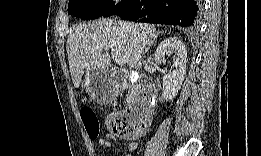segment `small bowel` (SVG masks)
I'll return each instance as SVG.
<instances>
[{
  "instance_id": "c3829d8e",
  "label": "small bowel",
  "mask_w": 261,
  "mask_h": 156,
  "mask_svg": "<svg viewBox=\"0 0 261 156\" xmlns=\"http://www.w3.org/2000/svg\"><path fill=\"white\" fill-rule=\"evenodd\" d=\"M113 142H119V139L115 135L110 133L98 140V144L102 148H110ZM125 146L128 150L129 155L134 153L137 149V144L135 142L129 143Z\"/></svg>"
}]
</instances>
